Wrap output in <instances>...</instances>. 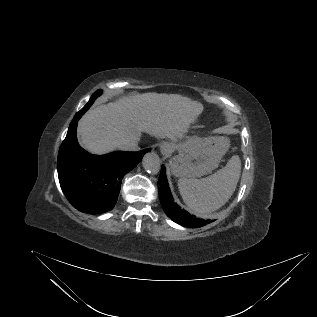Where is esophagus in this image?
Returning a JSON list of instances; mask_svg holds the SVG:
<instances>
[{"instance_id":"1","label":"esophagus","mask_w":317,"mask_h":317,"mask_svg":"<svg viewBox=\"0 0 317 317\" xmlns=\"http://www.w3.org/2000/svg\"><path fill=\"white\" fill-rule=\"evenodd\" d=\"M171 151H172V148H171V146L168 145V144H163V145L160 146V153H161L163 156L168 155Z\"/></svg>"}]
</instances>
